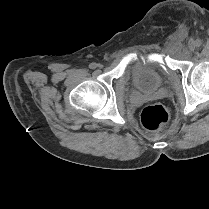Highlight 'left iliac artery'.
<instances>
[{
	"label": "left iliac artery",
	"instance_id": "44dca946",
	"mask_svg": "<svg viewBox=\"0 0 209 209\" xmlns=\"http://www.w3.org/2000/svg\"><path fill=\"white\" fill-rule=\"evenodd\" d=\"M201 44H202V43H201L200 40H196V46H197V47L201 46Z\"/></svg>",
	"mask_w": 209,
	"mask_h": 209
}]
</instances>
